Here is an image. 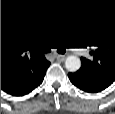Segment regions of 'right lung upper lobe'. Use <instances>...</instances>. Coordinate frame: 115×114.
Masks as SVG:
<instances>
[{
	"label": "right lung upper lobe",
	"mask_w": 115,
	"mask_h": 114,
	"mask_svg": "<svg viewBox=\"0 0 115 114\" xmlns=\"http://www.w3.org/2000/svg\"><path fill=\"white\" fill-rule=\"evenodd\" d=\"M30 50L22 34L1 30V90L27 83L50 64L42 54Z\"/></svg>",
	"instance_id": "1"
}]
</instances>
